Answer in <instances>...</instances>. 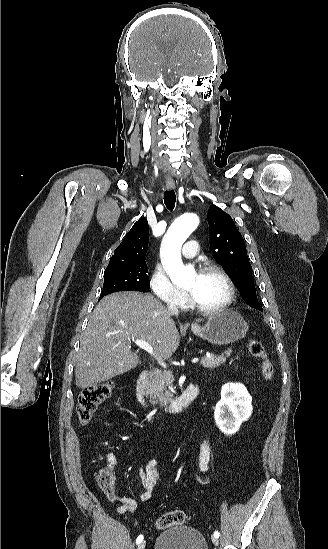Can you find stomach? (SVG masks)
I'll return each instance as SVG.
<instances>
[{
	"label": "stomach",
	"instance_id": "obj_1",
	"mask_svg": "<svg viewBox=\"0 0 328 549\" xmlns=\"http://www.w3.org/2000/svg\"><path fill=\"white\" fill-rule=\"evenodd\" d=\"M191 331L212 345H230L246 337L248 325L238 311L225 309L208 317L204 325H192Z\"/></svg>",
	"mask_w": 328,
	"mask_h": 549
}]
</instances>
